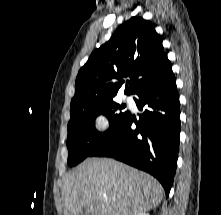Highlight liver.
I'll use <instances>...</instances> for the list:
<instances>
[{
  "label": "liver",
  "mask_w": 221,
  "mask_h": 215,
  "mask_svg": "<svg viewBox=\"0 0 221 215\" xmlns=\"http://www.w3.org/2000/svg\"><path fill=\"white\" fill-rule=\"evenodd\" d=\"M163 193L145 172L108 158L86 159L64 179V215H136L156 208Z\"/></svg>",
  "instance_id": "liver-1"
}]
</instances>
